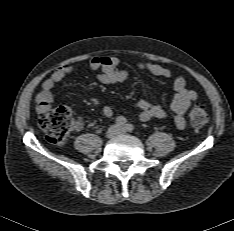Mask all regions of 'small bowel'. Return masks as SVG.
I'll use <instances>...</instances> for the list:
<instances>
[{"mask_svg":"<svg viewBox=\"0 0 234 231\" xmlns=\"http://www.w3.org/2000/svg\"><path fill=\"white\" fill-rule=\"evenodd\" d=\"M119 59L115 56L103 55L96 56L89 60L88 68L97 72V78L104 84L114 85L122 83L129 78L126 70L118 69ZM144 70L154 76L169 78L171 70L158 64L144 62L139 65ZM77 67L73 64H66L57 68L52 75L47 78L41 86V90L35 96V104L38 111H45L50 108L54 98L52 90L56 84L61 82L67 75L75 72ZM173 90L175 95L171 101L170 109L173 113V122L177 129H184L186 126L185 114L190 105L197 100V93L188 89L186 79L178 76L173 81ZM138 111V118L142 122L151 119H165L168 114L166 110L159 104L151 103L148 100L140 99L135 104ZM114 113L113 107L105 105L103 114L111 117ZM83 128V123L79 119L73 125L74 131Z\"/></svg>","mask_w":234,"mask_h":231,"instance_id":"c3829d8e","label":"small bowel"}]
</instances>
